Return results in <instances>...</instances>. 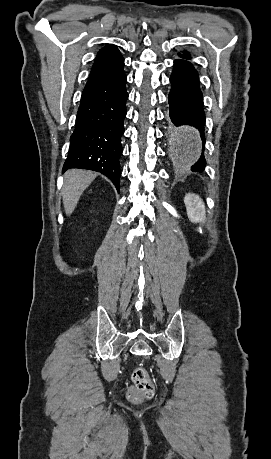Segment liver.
<instances>
[{
    "instance_id": "1",
    "label": "liver",
    "mask_w": 271,
    "mask_h": 459,
    "mask_svg": "<svg viewBox=\"0 0 271 459\" xmlns=\"http://www.w3.org/2000/svg\"><path fill=\"white\" fill-rule=\"evenodd\" d=\"M96 176V172H85V170H68L66 172L62 198L67 216L74 212L81 194L90 186Z\"/></svg>"
}]
</instances>
